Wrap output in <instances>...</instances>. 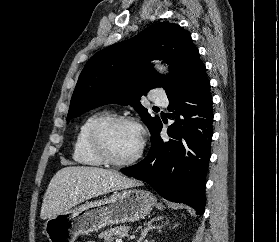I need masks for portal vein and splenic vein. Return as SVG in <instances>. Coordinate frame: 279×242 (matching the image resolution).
<instances>
[{
  "label": "portal vein and splenic vein",
  "instance_id": "18ae733b",
  "mask_svg": "<svg viewBox=\"0 0 279 242\" xmlns=\"http://www.w3.org/2000/svg\"><path fill=\"white\" fill-rule=\"evenodd\" d=\"M116 242H122V240L121 239H117Z\"/></svg>",
  "mask_w": 279,
  "mask_h": 242
}]
</instances>
